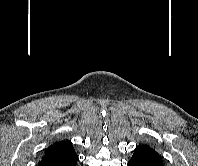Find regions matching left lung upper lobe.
<instances>
[{"instance_id": "left-lung-upper-lobe-1", "label": "left lung upper lobe", "mask_w": 198, "mask_h": 166, "mask_svg": "<svg viewBox=\"0 0 198 166\" xmlns=\"http://www.w3.org/2000/svg\"><path fill=\"white\" fill-rule=\"evenodd\" d=\"M146 160L163 164L161 155L149 144H139L134 150V154Z\"/></svg>"}]
</instances>
